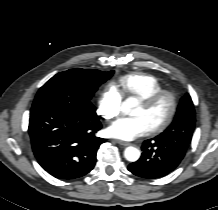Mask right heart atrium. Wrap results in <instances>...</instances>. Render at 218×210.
I'll list each match as a JSON object with an SVG mask.
<instances>
[{
	"label": "right heart atrium",
	"instance_id": "1",
	"mask_svg": "<svg viewBox=\"0 0 218 210\" xmlns=\"http://www.w3.org/2000/svg\"><path fill=\"white\" fill-rule=\"evenodd\" d=\"M122 97L113 87L106 88L99 97L97 112L106 120H111L120 114Z\"/></svg>",
	"mask_w": 218,
	"mask_h": 210
}]
</instances>
